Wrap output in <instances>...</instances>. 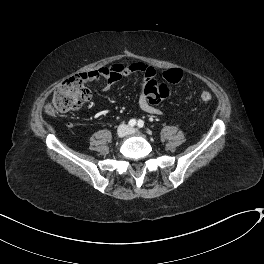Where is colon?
I'll return each instance as SVG.
<instances>
[{"mask_svg":"<svg viewBox=\"0 0 264 264\" xmlns=\"http://www.w3.org/2000/svg\"><path fill=\"white\" fill-rule=\"evenodd\" d=\"M183 73L178 68H170L162 73V81L148 82L144 87V94L153 102L169 99L171 87L182 79ZM204 102L212 99L209 90L204 89L200 93ZM91 98V91L86 87L84 81L78 77H71L61 82L54 90L50 103L45 107L46 113L54 115L79 109Z\"/></svg>","mask_w":264,"mask_h":264,"instance_id":"colon-1","label":"colon"}]
</instances>
